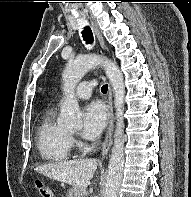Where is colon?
Listing matches in <instances>:
<instances>
[{"label":"colon","mask_w":191,"mask_h":197,"mask_svg":"<svg viewBox=\"0 0 191 197\" xmlns=\"http://www.w3.org/2000/svg\"><path fill=\"white\" fill-rule=\"evenodd\" d=\"M37 192L39 197H52V192L50 188L42 182H39L37 184Z\"/></svg>","instance_id":"5ec220e1"}]
</instances>
